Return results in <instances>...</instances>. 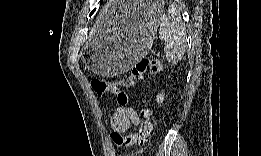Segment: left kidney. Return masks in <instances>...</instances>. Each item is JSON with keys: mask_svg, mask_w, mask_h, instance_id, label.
<instances>
[{"mask_svg": "<svg viewBox=\"0 0 261 156\" xmlns=\"http://www.w3.org/2000/svg\"><path fill=\"white\" fill-rule=\"evenodd\" d=\"M164 94L163 93H160L156 96V100L158 103H162L164 101Z\"/></svg>", "mask_w": 261, "mask_h": 156, "instance_id": "left-kidney-1", "label": "left kidney"}]
</instances>
